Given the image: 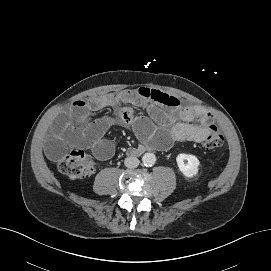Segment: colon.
I'll use <instances>...</instances> for the list:
<instances>
[{
  "label": "colon",
  "instance_id": "obj_1",
  "mask_svg": "<svg viewBox=\"0 0 271 271\" xmlns=\"http://www.w3.org/2000/svg\"><path fill=\"white\" fill-rule=\"evenodd\" d=\"M224 139L214 125L208 127V133L203 141L207 149H215L223 145ZM61 172L70 178H82L92 174L93 165L85 151L76 149L71 151L59 163Z\"/></svg>",
  "mask_w": 271,
  "mask_h": 271
}]
</instances>
